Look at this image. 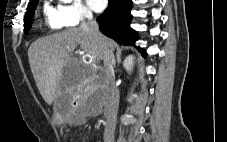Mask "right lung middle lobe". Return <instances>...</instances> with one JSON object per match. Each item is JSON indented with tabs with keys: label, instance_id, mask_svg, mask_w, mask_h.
<instances>
[{
	"label": "right lung middle lobe",
	"instance_id": "1",
	"mask_svg": "<svg viewBox=\"0 0 227 142\" xmlns=\"http://www.w3.org/2000/svg\"><path fill=\"white\" fill-rule=\"evenodd\" d=\"M38 3V0L29 4L25 18H24V32H27L31 28V24L33 22V15L35 11V7Z\"/></svg>",
	"mask_w": 227,
	"mask_h": 142
}]
</instances>
